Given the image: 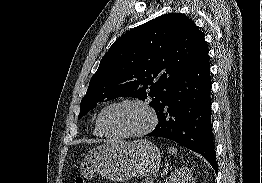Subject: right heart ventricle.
<instances>
[{
  "instance_id": "obj_1",
  "label": "right heart ventricle",
  "mask_w": 262,
  "mask_h": 183,
  "mask_svg": "<svg viewBox=\"0 0 262 183\" xmlns=\"http://www.w3.org/2000/svg\"><path fill=\"white\" fill-rule=\"evenodd\" d=\"M93 134L98 137V138H103L105 137V135L99 130L98 126H97V120L94 126V130H93Z\"/></svg>"
}]
</instances>
